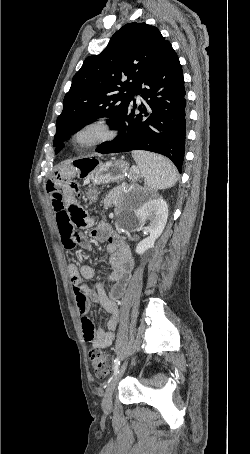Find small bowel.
I'll return each instance as SVG.
<instances>
[{
	"mask_svg": "<svg viewBox=\"0 0 250 454\" xmlns=\"http://www.w3.org/2000/svg\"><path fill=\"white\" fill-rule=\"evenodd\" d=\"M47 192L55 212L63 245L67 249L79 244L85 251H91L92 244L88 237L98 241H107L106 251L109 254L111 274L104 280L97 281L93 289L88 288L84 282L95 278V272L90 266L68 265L75 302L81 317L84 340L92 343L95 349L107 348L114 341L120 315L118 303L126 291L132 273L133 261L130 250L111 231L106 221L99 222L88 236L77 231L79 228L93 226L95 220L78 204L80 185L72 176L54 175L47 182ZM105 282L111 284L109 289L105 288ZM92 302L99 303L109 314L106 329L96 330L88 317Z\"/></svg>",
	"mask_w": 250,
	"mask_h": 454,
	"instance_id": "obj_1",
	"label": "small bowel"
}]
</instances>
